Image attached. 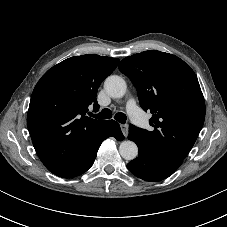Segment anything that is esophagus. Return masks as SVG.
Returning a JSON list of instances; mask_svg holds the SVG:
<instances>
[{"label":"esophagus","mask_w":227,"mask_h":227,"mask_svg":"<svg viewBox=\"0 0 227 227\" xmlns=\"http://www.w3.org/2000/svg\"><path fill=\"white\" fill-rule=\"evenodd\" d=\"M121 130H122V133L124 135V137H127L128 136V130H129V126L127 124H122L121 125Z\"/></svg>","instance_id":"34e87169"}]
</instances>
